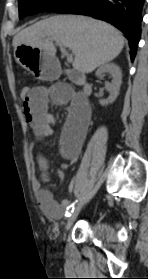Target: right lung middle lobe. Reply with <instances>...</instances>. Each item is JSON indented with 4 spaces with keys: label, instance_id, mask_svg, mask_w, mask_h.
Instances as JSON below:
<instances>
[{
    "label": "right lung middle lobe",
    "instance_id": "1",
    "mask_svg": "<svg viewBox=\"0 0 148 279\" xmlns=\"http://www.w3.org/2000/svg\"><path fill=\"white\" fill-rule=\"evenodd\" d=\"M81 0H18L19 18L42 11H61Z\"/></svg>",
    "mask_w": 148,
    "mask_h": 279
}]
</instances>
